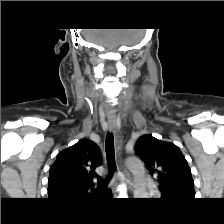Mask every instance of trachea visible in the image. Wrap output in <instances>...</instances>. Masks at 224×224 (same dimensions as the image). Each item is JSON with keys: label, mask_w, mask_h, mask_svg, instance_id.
<instances>
[{"label": "trachea", "mask_w": 224, "mask_h": 224, "mask_svg": "<svg viewBox=\"0 0 224 224\" xmlns=\"http://www.w3.org/2000/svg\"><path fill=\"white\" fill-rule=\"evenodd\" d=\"M105 149L109 173L107 180L102 184V186H106L108 184V182L113 176L114 171L116 170L114 155V138L112 133H108L106 136Z\"/></svg>", "instance_id": "3493384b"}]
</instances>
